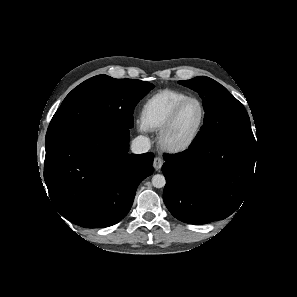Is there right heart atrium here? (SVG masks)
<instances>
[{
	"instance_id": "d8ad5b80",
	"label": "right heart atrium",
	"mask_w": 297,
	"mask_h": 297,
	"mask_svg": "<svg viewBox=\"0 0 297 297\" xmlns=\"http://www.w3.org/2000/svg\"><path fill=\"white\" fill-rule=\"evenodd\" d=\"M140 129H141V130H144L145 128H144L142 125H140Z\"/></svg>"
}]
</instances>
